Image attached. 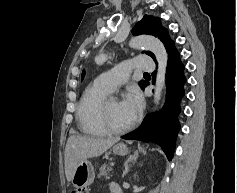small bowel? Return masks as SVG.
<instances>
[{
    "label": "small bowel",
    "mask_w": 237,
    "mask_h": 193,
    "mask_svg": "<svg viewBox=\"0 0 237 193\" xmlns=\"http://www.w3.org/2000/svg\"><path fill=\"white\" fill-rule=\"evenodd\" d=\"M113 191H114V193H120L116 186H113Z\"/></svg>",
    "instance_id": "c3829d8e"
}]
</instances>
